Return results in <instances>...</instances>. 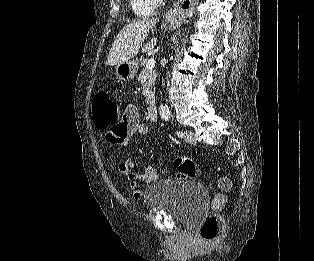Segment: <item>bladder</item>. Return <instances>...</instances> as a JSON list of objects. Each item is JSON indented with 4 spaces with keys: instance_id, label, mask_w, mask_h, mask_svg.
<instances>
[{
    "instance_id": "1",
    "label": "bladder",
    "mask_w": 314,
    "mask_h": 261,
    "mask_svg": "<svg viewBox=\"0 0 314 261\" xmlns=\"http://www.w3.org/2000/svg\"><path fill=\"white\" fill-rule=\"evenodd\" d=\"M149 208L161 209L186 225H194L208 204V190L199 182L160 180L150 185L144 198Z\"/></svg>"
}]
</instances>
